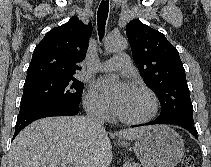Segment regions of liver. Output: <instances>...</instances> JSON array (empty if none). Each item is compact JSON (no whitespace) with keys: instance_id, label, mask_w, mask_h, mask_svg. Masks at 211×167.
Segmentation results:
<instances>
[{"instance_id":"1","label":"liver","mask_w":211,"mask_h":167,"mask_svg":"<svg viewBox=\"0 0 211 167\" xmlns=\"http://www.w3.org/2000/svg\"><path fill=\"white\" fill-rule=\"evenodd\" d=\"M148 128H130L116 135L135 140ZM112 157L108 133L90 131L85 117H48L17 135L9 153V167H58L63 162L68 167H108Z\"/></svg>"}]
</instances>
